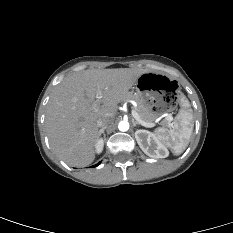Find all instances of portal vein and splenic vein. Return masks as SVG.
Masks as SVG:
<instances>
[{
	"mask_svg": "<svg viewBox=\"0 0 233 233\" xmlns=\"http://www.w3.org/2000/svg\"><path fill=\"white\" fill-rule=\"evenodd\" d=\"M100 99H101V90L98 89V90H97V101H99ZM131 113H132V116H133V117L139 122V124H141L142 126L148 127V128H151V127H154V126H155V123L146 122V121L142 120L134 108L131 109ZM165 120H166L168 123H171V121L173 120V118H172V116L168 115V116L165 117Z\"/></svg>",
	"mask_w": 233,
	"mask_h": 233,
	"instance_id": "obj_1",
	"label": "portal vein and splenic vein"
}]
</instances>
